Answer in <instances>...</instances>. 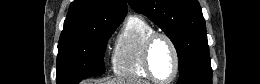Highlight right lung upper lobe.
Returning <instances> with one entry per match:
<instances>
[{"mask_svg":"<svg viewBox=\"0 0 260 84\" xmlns=\"http://www.w3.org/2000/svg\"><path fill=\"white\" fill-rule=\"evenodd\" d=\"M126 14V0H75L70 5L60 40L86 37L95 25L123 21Z\"/></svg>","mask_w":260,"mask_h":84,"instance_id":"1","label":"right lung upper lobe"}]
</instances>
